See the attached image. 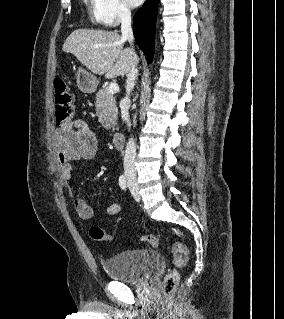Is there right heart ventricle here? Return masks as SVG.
Returning a JSON list of instances; mask_svg holds the SVG:
<instances>
[{"label":"right heart ventricle","mask_w":284,"mask_h":319,"mask_svg":"<svg viewBox=\"0 0 284 319\" xmlns=\"http://www.w3.org/2000/svg\"><path fill=\"white\" fill-rule=\"evenodd\" d=\"M87 11L91 19L97 23H101L99 12H98V1L97 0H84Z\"/></svg>","instance_id":"obj_1"}]
</instances>
